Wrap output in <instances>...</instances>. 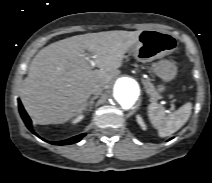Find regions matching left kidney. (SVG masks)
Segmentation results:
<instances>
[{
  "mask_svg": "<svg viewBox=\"0 0 212 183\" xmlns=\"http://www.w3.org/2000/svg\"><path fill=\"white\" fill-rule=\"evenodd\" d=\"M136 119H137L138 124L141 126V128L143 130H146L147 127H146V124H145L144 120L142 119V117L140 115H137Z\"/></svg>",
  "mask_w": 212,
  "mask_h": 183,
  "instance_id": "obj_1",
  "label": "left kidney"
}]
</instances>
